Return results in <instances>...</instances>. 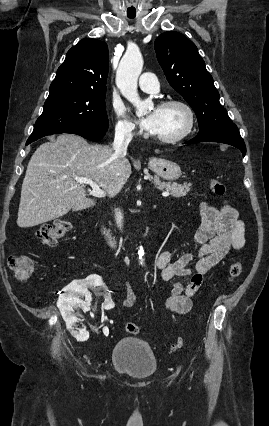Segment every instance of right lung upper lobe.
<instances>
[{
    "label": "right lung upper lobe",
    "mask_w": 269,
    "mask_h": 426,
    "mask_svg": "<svg viewBox=\"0 0 269 426\" xmlns=\"http://www.w3.org/2000/svg\"><path fill=\"white\" fill-rule=\"evenodd\" d=\"M108 67L107 44L97 39H82L67 52L49 93L73 91L106 94Z\"/></svg>",
    "instance_id": "cb5924a9"
}]
</instances>
